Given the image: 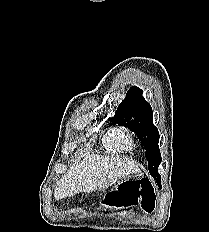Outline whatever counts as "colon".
I'll use <instances>...</instances> for the list:
<instances>
[{"label": "colon", "instance_id": "colon-1", "mask_svg": "<svg viewBox=\"0 0 209 232\" xmlns=\"http://www.w3.org/2000/svg\"><path fill=\"white\" fill-rule=\"evenodd\" d=\"M155 204V188L147 178L126 182L117 193H105L100 202L101 206H138L146 213H152Z\"/></svg>", "mask_w": 209, "mask_h": 232}]
</instances>
